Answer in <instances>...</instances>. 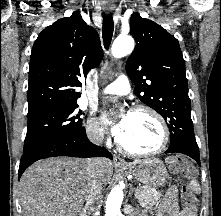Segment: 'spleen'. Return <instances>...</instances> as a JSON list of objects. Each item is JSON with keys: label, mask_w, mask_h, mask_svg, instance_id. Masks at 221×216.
Segmentation results:
<instances>
[{"label": "spleen", "mask_w": 221, "mask_h": 216, "mask_svg": "<svg viewBox=\"0 0 221 216\" xmlns=\"http://www.w3.org/2000/svg\"><path fill=\"white\" fill-rule=\"evenodd\" d=\"M191 185L193 186V189H194L195 191H198V189H199V184L197 183L196 180H192V181H191Z\"/></svg>", "instance_id": "spleen-1"}]
</instances>
